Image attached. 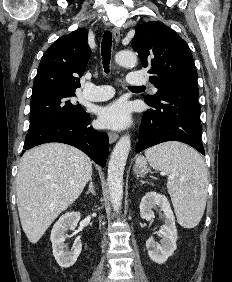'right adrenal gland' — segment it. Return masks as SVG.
<instances>
[{
  "instance_id": "right-adrenal-gland-1",
  "label": "right adrenal gland",
  "mask_w": 232,
  "mask_h": 282,
  "mask_svg": "<svg viewBox=\"0 0 232 282\" xmlns=\"http://www.w3.org/2000/svg\"><path fill=\"white\" fill-rule=\"evenodd\" d=\"M90 193H92V195H94V196L96 195L92 177L90 178L89 188H88V191L86 192V194L88 195Z\"/></svg>"
}]
</instances>
